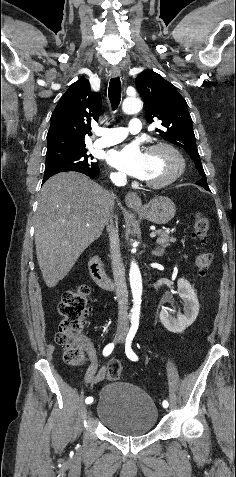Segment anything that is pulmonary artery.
Segmentation results:
<instances>
[{
	"label": "pulmonary artery",
	"mask_w": 236,
	"mask_h": 477,
	"mask_svg": "<svg viewBox=\"0 0 236 477\" xmlns=\"http://www.w3.org/2000/svg\"><path fill=\"white\" fill-rule=\"evenodd\" d=\"M142 131V122L138 118H132L127 128H100L97 134L100 136L94 142L97 147H108L123 141L128 132L138 133Z\"/></svg>",
	"instance_id": "e3ab8cb5"
}]
</instances>
